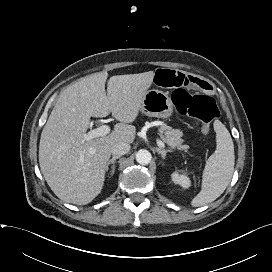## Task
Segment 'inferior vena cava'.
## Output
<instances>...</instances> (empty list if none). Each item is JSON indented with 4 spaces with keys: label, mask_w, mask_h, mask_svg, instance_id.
Segmentation results:
<instances>
[{
    "label": "inferior vena cava",
    "mask_w": 272,
    "mask_h": 272,
    "mask_svg": "<svg viewBox=\"0 0 272 272\" xmlns=\"http://www.w3.org/2000/svg\"><path fill=\"white\" fill-rule=\"evenodd\" d=\"M130 151V145L126 142H118L112 145L110 152L114 156H122Z\"/></svg>",
    "instance_id": "inferior-vena-cava-1"
}]
</instances>
